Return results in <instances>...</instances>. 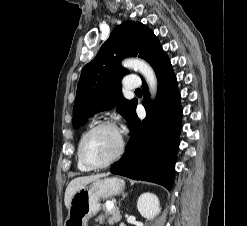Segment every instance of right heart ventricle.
Returning <instances> with one entry per match:
<instances>
[{
  "instance_id": "e07e8e85",
  "label": "right heart ventricle",
  "mask_w": 247,
  "mask_h": 226,
  "mask_svg": "<svg viewBox=\"0 0 247 226\" xmlns=\"http://www.w3.org/2000/svg\"><path fill=\"white\" fill-rule=\"evenodd\" d=\"M77 166H78V168H79L81 171H88V170H90L89 168H87V167L81 162V160H80V158H79L78 152H77Z\"/></svg>"
}]
</instances>
